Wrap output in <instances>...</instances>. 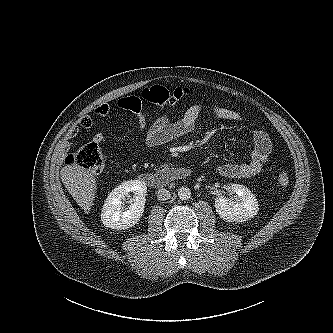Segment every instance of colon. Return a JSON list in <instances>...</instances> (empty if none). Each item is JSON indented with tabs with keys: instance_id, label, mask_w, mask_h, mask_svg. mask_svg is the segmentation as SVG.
<instances>
[{
	"instance_id": "1",
	"label": "colon",
	"mask_w": 333,
	"mask_h": 333,
	"mask_svg": "<svg viewBox=\"0 0 333 333\" xmlns=\"http://www.w3.org/2000/svg\"><path fill=\"white\" fill-rule=\"evenodd\" d=\"M188 90L185 88H176L169 91L163 86H152L142 92V97L161 108H173L178 102L187 95ZM65 163L68 166L84 168L92 173H98L104 166V155L97 143H88L76 151L70 153ZM277 184L287 186L289 176L286 172H280L277 176Z\"/></svg>"
}]
</instances>
